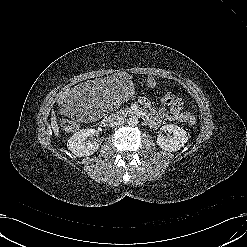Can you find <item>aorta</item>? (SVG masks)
I'll list each match as a JSON object with an SVG mask.
<instances>
[{
  "instance_id": "aorta-1",
  "label": "aorta",
  "mask_w": 247,
  "mask_h": 247,
  "mask_svg": "<svg viewBox=\"0 0 247 247\" xmlns=\"http://www.w3.org/2000/svg\"><path fill=\"white\" fill-rule=\"evenodd\" d=\"M127 123L129 126H137L139 121H138V118L136 116H131L127 119Z\"/></svg>"
}]
</instances>
